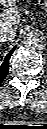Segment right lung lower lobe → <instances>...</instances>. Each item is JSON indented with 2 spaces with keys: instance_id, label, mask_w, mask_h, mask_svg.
<instances>
[{
  "instance_id": "obj_1",
  "label": "right lung lower lobe",
  "mask_w": 47,
  "mask_h": 129,
  "mask_svg": "<svg viewBox=\"0 0 47 129\" xmlns=\"http://www.w3.org/2000/svg\"><path fill=\"white\" fill-rule=\"evenodd\" d=\"M15 48H16V46L7 54V56L4 59V62L0 66V83L4 80L5 76L8 73L9 59H10V56L12 55V53L14 52Z\"/></svg>"
}]
</instances>
